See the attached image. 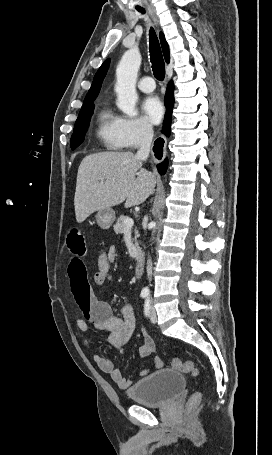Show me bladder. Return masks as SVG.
Listing matches in <instances>:
<instances>
[{
  "instance_id": "1",
  "label": "bladder",
  "mask_w": 272,
  "mask_h": 455,
  "mask_svg": "<svg viewBox=\"0 0 272 455\" xmlns=\"http://www.w3.org/2000/svg\"><path fill=\"white\" fill-rule=\"evenodd\" d=\"M184 387L185 379L180 372L162 369L135 383L128 396L146 406L162 407L173 401Z\"/></svg>"
}]
</instances>
